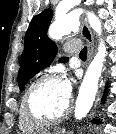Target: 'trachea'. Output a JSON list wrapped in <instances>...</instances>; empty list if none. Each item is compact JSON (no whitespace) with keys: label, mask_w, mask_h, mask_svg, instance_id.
Segmentation results:
<instances>
[{"label":"trachea","mask_w":116,"mask_h":134,"mask_svg":"<svg viewBox=\"0 0 116 134\" xmlns=\"http://www.w3.org/2000/svg\"><path fill=\"white\" fill-rule=\"evenodd\" d=\"M79 56L82 57V58H86V57H87V47H84V48L81 50Z\"/></svg>","instance_id":"3493384b"}]
</instances>
